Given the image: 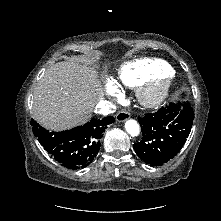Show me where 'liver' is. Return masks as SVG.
<instances>
[{
	"mask_svg": "<svg viewBox=\"0 0 221 221\" xmlns=\"http://www.w3.org/2000/svg\"><path fill=\"white\" fill-rule=\"evenodd\" d=\"M98 72L87 64L62 61L47 69L33 96L34 119L60 131L85 123L103 98Z\"/></svg>",
	"mask_w": 221,
	"mask_h": 221,
	"instance_id": "6515ba94",
	"label": "liver"
}]
</instances>
